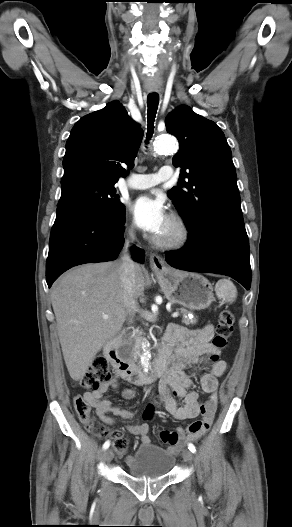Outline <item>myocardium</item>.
<instances>
[{
    "label": "myocardium",
    "mask_w": 292,
    "mask_h": 527,
    "mask_svg": "<svg viewBox=\"0 0 292 527\" xmlns=\"http://www.w3.org/2000/svg\"><path fill=\"white\" fill-rule=\"evenodd\" d=\"M169 222L172 227V232L168 236L154 237V244L166 249H175L184 246L190 239L188 223L179 214H171Z\"/></svg>",
    "instance_id": "obj_1"
}]
</instances>
